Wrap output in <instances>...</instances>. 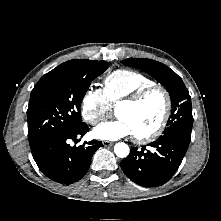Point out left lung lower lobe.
Here are the masks:
<instances>
[{"label":"left lung lower lobe","instance_id":"1","mask_svg":"<svg viewBox=\"0 0 221 221\" xmlns=\"http://www.w3.org/2000/svg\"><path fill=\"white\" fill-rule=\"evenodd\" d=\"M190 142L175 137H159L141 149L132 148L120 163L123 172L141 186L165 184L177 171Z\"/></svg>","mask_w":221,"mask_h":221}]
</instances>
